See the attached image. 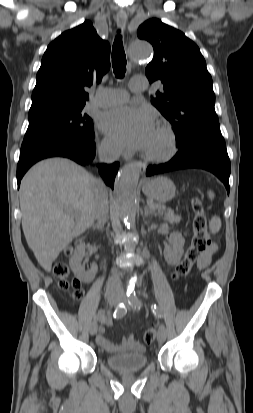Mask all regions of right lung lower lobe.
Returning <instances> with one entry per match:
<instances>
[{
	"instance_id": "1",
	"label": "right lung lower lobe",
	"mask_w": 253,
	"mask_h": 413,
	"mask_svg": "<svg viewBox=\"0 0 253 413\" xmlns=\"http://www.w3.org/2000/svg\"><path fill=\"white\" fill-rule=\"evenodd\" d=\"M57 156L70 158L81 165L90 164L95 157L94 137L90 140L57 141L26 150H21L17 165L18 188L23 175L34 163L45 158ZM118 167V162L111 165H99V172L102 178L111 188L114 186V180Z\"/></svg>"
}]
</instances>
